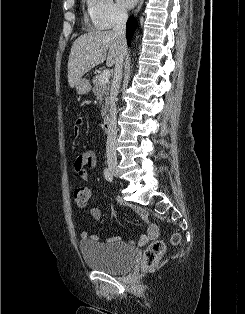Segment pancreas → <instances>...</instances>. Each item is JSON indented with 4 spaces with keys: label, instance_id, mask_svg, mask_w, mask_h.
Wrapping results in <instances>:
<instances>
[{
    "label": "pancreas",
    "instance_id": "cf45deb5",
    "mask_svg": "<svg viewBox=\"0 0 245 314\" xmlns=\"http://www.w3.org/2000/svg\"><path fill=\"white\" fill-rule=\"evenodd\" d=\"M100 75H96L92 82H93V93L96 95L97 99L99 100L100 104H104L101 115L104 116L109 109L110 98H109V85L108 82L102 84L99 82Z\"/></svg>",
    "mask_w": 245,
    "mask_h": 314
}]
</instances>
